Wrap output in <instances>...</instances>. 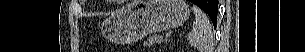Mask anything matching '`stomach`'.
<instances>
[{
    "mask_svg": "<svg viewBox=\"0 0 305 52\" xmlns=\"http://www.w3.org/2000/svg\"><path fill=\"white\" fill-rule=\"evenodd\" d=\"M190 14L184 0H135L107 18L103 36L117 44H129L143 36L181 26Z\"/></svg>",
    "mask_w": 305,
    "mask_h": 52,
    "instance_id": "0dacf381",
    "label": "stomach"
}]
</instances>
